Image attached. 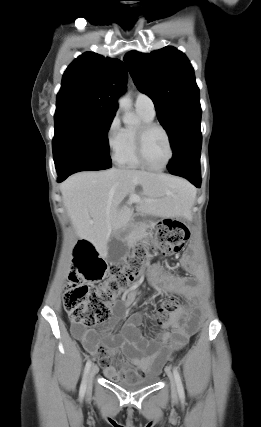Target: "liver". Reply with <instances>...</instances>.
<instances>
[{"mask_svg": "<svg viewBox=\"0 0 261 427\" xmlns=\"http://www.w3.org/2000/svg\"><path fill=\"white\" fill-rule=\"evenodd\" d=\"M143 198L137 209L157 217H187L195 198L194 188L184 179L167 174L111 168L98 172H79L60 186L63 204L79 238L88 240L107 256L112 232L128 226L133 209L120 204L136 186ZM131 204V203H128Z\"/></svg>", "mask_w": 261, "mask_h": 427, "instance_id": "1", "label": "liver"}]
</instances>
